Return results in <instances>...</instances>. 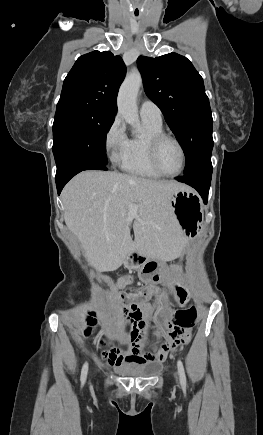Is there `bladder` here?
<instances>
[{
	"mask_svg": "<svg viewBox=\"0 0 263 435\" xmlns=\"http://www.w3.org/2000/svg\"><path fill=\"white\" fill-rule=\"evenodd\" d=\"M159 364L143 365L138 367H125L121 369L124 375L134 377H148L156 374L160 370Z\"/></svg>",
	"mask_w": 263,
	"mask_h": 435,
	"instance_id": "bladder-1",
	"label": "bladder"
}]
</instances>
